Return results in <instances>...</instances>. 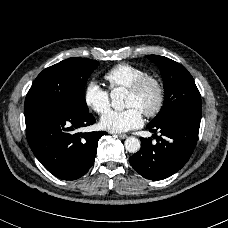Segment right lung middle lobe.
<instances>
[{"mask_svg":"<svg viewBox=\"0 0 228 228\" xmlns=\"http://www.w3.org/2000/svg\"><path fill=\"white\" fill-rule=\"evenodd\" d=\"M99 63L86 58H69L43 70L33 82L25 106L39 102L59 103L88 113L84 88Z\"/></svg>","mask_w":228,"mask_h":228,"instance_id":"1","label":"right lung middle lobe"}]
</instances>
